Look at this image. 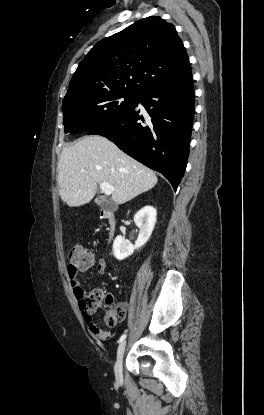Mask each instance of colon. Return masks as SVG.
<instances>
[{
	"label": "colon",
	"mask_w": 264,
	"mask_h": 415,
	"mask_svg": "<svg viewBox=\"0 0 264 415\" xmlns=\"http://www.w3.org/2000/svg\"><path fill=\"white\" fill-rule=\"evenodd\" d=\"M94 263L91 251L84 247H73L69 252L68 271L74 274L80 268H88ZM80 309L86 315L90 326H96L91 314L99 307L104 306L107 311L106 322L123 321L125 318V305L115 302L114 298L104 293L97 287H93L89 293L79 302Z\"/></svg>",
	"instance_id": "1"
}]
</instances>
